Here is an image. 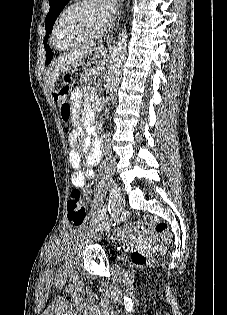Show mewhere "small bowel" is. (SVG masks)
Segmentation results:
<instances>
[{"label":"small bowel","instance_id":"c3829d8e","mask_svg":"<svg viewBox=\"0 0 227 315\" xmlns=\"http://www.w3.org/2000/svg\"><path fill=\"white\" fill-rule=\"evenodd\" d=\"M90 92L87 87H77L73 91L74 100L80 103L84 97ZM68 143L71 147L69 151V163L74 172L71 176V183L75 187L83 188L84 195L90 197L93 195V189L86 187L87 181H92L95 178L93 167L99 161V149L93 144L90 138H83V129L76 122L73 123V129L69 135ZM81 150L86 153V159L83 161L78 145Z\"/></svg>","mask_w":227,"mask_h":315}]
</instances>
